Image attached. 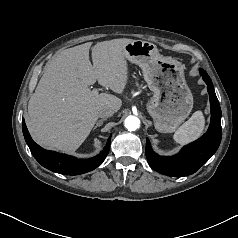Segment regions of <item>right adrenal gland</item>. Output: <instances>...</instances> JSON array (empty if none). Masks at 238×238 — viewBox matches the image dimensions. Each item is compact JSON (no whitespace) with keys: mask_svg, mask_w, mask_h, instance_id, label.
<instances>
[{"mask_svg":"<svg viewBox=\"0 0 238 238\" xmlns=\"http://www.w3.org/2000/svg\"><path fill=\"white\" fill-rule=\"evenodd\" d=\"M106 120H107L106 118L98 120L96 125L94 126L93 130H95L97 127L101 126L103 124V122L106 121Z\"/></svg>","mask_w":238,"mask_h":238,"instance_id":"1","label":"right adrenal gland"}]
</instances>
